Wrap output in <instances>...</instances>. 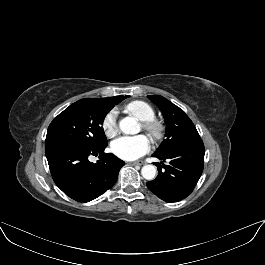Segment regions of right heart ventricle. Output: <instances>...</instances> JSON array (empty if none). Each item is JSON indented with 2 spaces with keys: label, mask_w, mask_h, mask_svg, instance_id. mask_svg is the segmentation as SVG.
<instances>
[{
  "label": "right heart ventricle",
  "mask_w": 265,
  "mask_h": 265,
  "mask_svg": "<svg viewBox=\"0 0 265 265\" xmlns=\"http://www.w3.org/2000/svg\"><path fill=\"white\" fill-rule=\"evenodd\" d=\"M125 110L142 122L154 120L155 118L154 108L149 103L142 100H135L128 103L125 106Z\"/></svg>",
  "instance_id": "right-heart-ventricle-1"
}]
</instances>
